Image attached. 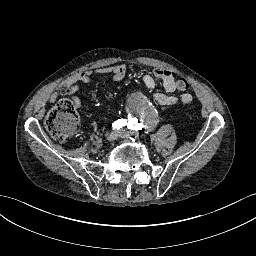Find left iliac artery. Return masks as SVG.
<instances>
[{"label": "left iliac artery", "instance_id": "1", "mask_svg": "<svg viewBox=\"0 0 256 256\" xmlns=\"http://www.w3.org/2000/svg\"><path fill=\"white\" fill-rule=\"evenodd\" d=\"M132 124H133V119L131 118V119H129L127 126L130 127Z\"/></svg>", "mask_w": 256, "mask_h": 256}]
</instances>
